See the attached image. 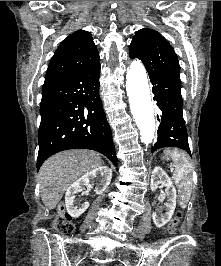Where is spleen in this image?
I'll return each mask as SVG.
<instances>
[{"label": "spleen", "instance_id": "3e777b00", "mask_svg": "<svg viewBox=\"0 0 221 266\" xmlns=\"http://www.w3.org/2000/svg\"><path fill=\"white\" fill-rule=\"evenodd\" d=\"M173 161L174 174L173 179L179 189L181 202L185 205L190 197L192 190V165L188 155L178 149H167L165 151Z\"/></svg>", "mask_w": 221, "mask_h": 266}]
</instances>
